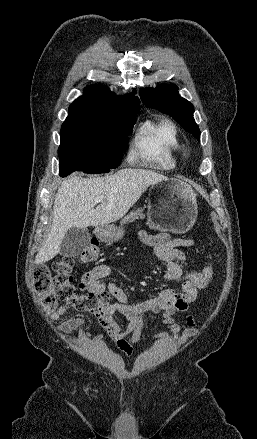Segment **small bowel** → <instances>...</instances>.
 <instances>
[{
	"mask_svg": "<svg viewBox=\"0 0 257 439\" xmlns=\"http://www.w3.org/2000/svg\"><path fill=\"white\" fill-rule=\"evenodd\" d=\"M140 240L154 248L156 256L165 268V281H178L186 273V255L180 248H187L194 245V241L185 238H175L169 233L152 234L146 231L139 233ZM111 273L107 265L101 264L87 272L80 286L89 291H104L106 284L104 279ZM197 287L190 282L182 283L181 294L172 289H164L157 296L136 303L130 304L128 296L117 286L116 283L108 284V290L117 298V302L110 304L102 313L95 314L99 325L107 332L108 336L115 343L119 351L125 356H131L140 340L145 336L144 323L146 320L156 319L161 313L159 320L165 325L166 331H160L153 336L161 346L168 344L171 336L178 335L179 343L185 344L195 334L194 322L187 317L186 328L173 318L176 312H186L189 305L196 299ZM66 312L65 307H60L51 315L52 320H57ZM117 316L127 320L126 327H122L117 321ZM82 320L78 317L70 318L61 324L63 332L69 334L78 328Z\"/></svg>",
	"mask_w": 257,
	"mask_h": 439,
	"instance_id": "small-bowel-1",
	"label": "small bowel"
}]
</instances>
